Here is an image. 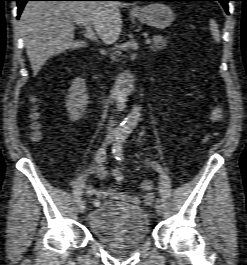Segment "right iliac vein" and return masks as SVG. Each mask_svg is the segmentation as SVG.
Segmentation results:
<instances>
[{"label": "right iliac vein", "instance_id": "right-iliac-vein-1", "mask_svg": "<svg viewBox=\"0 0 247 265\" xmlns=\"http://www.w3.org/2000/svg\"><path fill=\"white\" fill-rule=\"evenodd\" d=\"M86 210V202L85 201H81L79 204V212L83 213Z\"/></svg>", "mask_w": 247, "mask_h": 265}]
</instances>
